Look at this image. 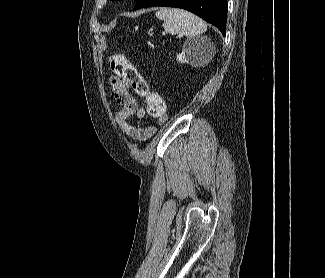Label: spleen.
I'll return each mask as SVG.
<instances>
[{"label": "spleen", "mask_w": 325, "mask_h": 278, "mask_svg": "<svg viewBox=\"0 0 325 278\" xmlns=\"http://www.w3.org/2000/svg\"><path fill=\"white\" fill-rule=\"evenodd\" d=\"M156 17L162 20L165 31L186 37L200 35L207 30L205 22L188 11L176 8H161Z\"/></svg>", "instance_id": "obj_1"}]
</instances>
